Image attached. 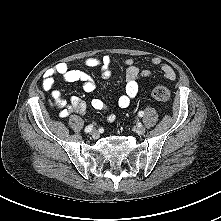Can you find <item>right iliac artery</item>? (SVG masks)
Wrapping results in <instances>:
<instances>
[{
	"instance_id": "right-iliac-artery-1",
	"label": "right iliac artery",
	"mask_w": 221,
	"mask_h": 221,
	"mask_svg": "<svg viewBox=\"0 0 221 221\" xmlns=\"http://www.w3.org/2000/svg\"><path fill=\"white\" fill-rule=\"evenodd\" d=\"M93 128V125H88L86 128H85V132L88 133L92 130Z\"/></svg>"
}]
</instances>
